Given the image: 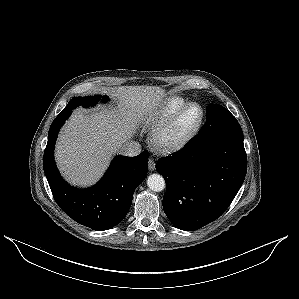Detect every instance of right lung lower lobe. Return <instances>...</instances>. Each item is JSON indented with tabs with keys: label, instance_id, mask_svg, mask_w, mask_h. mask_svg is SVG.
Here are the masks:
<instances>
[{
	"label": "right lung lower lobe",
	"instance_id": "98d812e1",
	"mask_svg": "<svg viewBox=\"0 0 299 299\" xmlns=\"http://www.w3.org/2000/svg\"><path fill=\"white\" fill-rule=\"evenodd\" d=\"M71 113L72 109H63L50 126L43 157L44 172L56 203L68 216L93 230H107L128 213L134 190L147 174L148 153L143 151L136 157L117 156L95 186L71 187L59 174L54 161L57 134Z\"/></svg>",
	"mask_w": 299,
	"mask_h": 299
}]
</instances>
